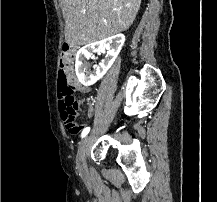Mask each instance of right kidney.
I'll list each match as a JSON object with an SVG mask.
<instances>
[{"instance_id": "1", "label": "right kidney", "mask_w": 217, "mask_h": 202, "mask_svg": "<svg viewBox=\"0 0 217 202\" xmlns=\"http://www.w3.org/2000/svg\"><path fill=\"white\" fill-rule=\"evenodd\" d=\"M124 42L125 36L123 34H116V36H111V38H106V40H101V42H94V44H87V46L80 48L79 52H77L75 62V72L77 78H79V82L83 86H93L96 80L103 78L107 70L111 68L113 62H115V58H117ZM95 46H98L97 50L99 52L101 50H107V52L104 60L99 64L98 72H95L94 76L93 72L87 70L86 60L92 58V52H94Z\"/></svg>"}]
</instances>
